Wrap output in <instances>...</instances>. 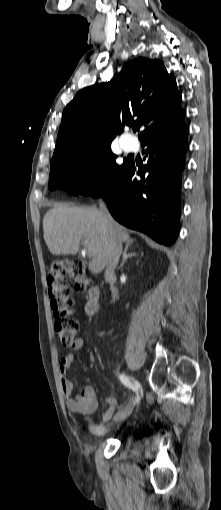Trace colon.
<instances>
[{
	"mask_svg": "<svg viewBox=\"0 0 221 510\" xmlns=\"http://www.w3.org/2000/svg\"><path fill=\"white\" fill-rule=\"evenodd\" d=\"M72 280L75 289L83 292L89 286L83 264L77 259L62 258L48 265V295L54 315V329L65 346H71L79 333L80 325L74 317L73 299L68 281Z\"/></svg>",
	"mask_w": 221,
	"mask_h": 510,
	"instance_id": "obj_1",
	"label": "colon"
}]
</instances>
